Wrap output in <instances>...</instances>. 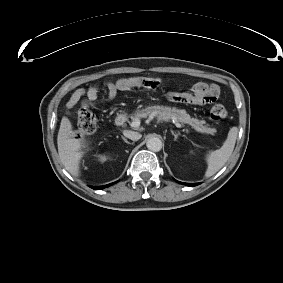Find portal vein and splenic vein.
Returning a JSON list of instances; mask_svg holds the SVG:
<instances>
[{
	"mask_svg": "<svg viewBox=\"0 0 283 283\" xmlns=\"http://www.w3.org/2000/svg\"><path fill=\"white\" fill-rule=\"evenodd\" d=\"M139 125H140V120H139V119H135V120H133V122L131 123V126L134 127V128L139 127ZM175 126L178 127V128H181V127H182L181 124L178 123V122L175 123Z\"/></svg>",
	"mask_w": 283,
	"mask_h": 283,
	"instance_id": "portal-vein-and-splenic-vein-1",
	"label": "portal vein and splenic vein"
}]
</instances>
